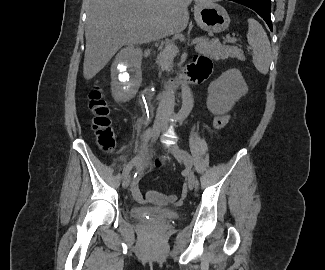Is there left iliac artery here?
<instances>
[{"label":"left iliac artery","mask_w":325,"mask_h":270,"mask_svg":"<svg viewBox=\"0 0 325 270\" xmlns=\"http://www.w3.org/2000/svg\"><path fill=\"white\" fill-rule=\"evenodd\" d=\"M183 153L186 155L188 159H191L190 154L187 151H183ZM198 187V181L196 180V188Z\"/></svg>","instance_id":"left-iliac-artery-1"}]
</instances>
